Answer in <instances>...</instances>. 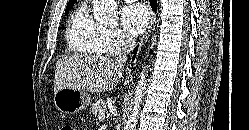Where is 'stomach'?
Segmentation results:
<instances>
[{
  "mask_svg": "<svg viewBox=\"0 0 249 130\" xmlns=\"http://www.w3.org/2000/svg\"><path fill=\"white\" fill-rule=\"evenodd\" d=\"M91 102V96L81 90L64 88L54 95L56 108L66 114H75L90 106Z\"/></svg>",
  "mask_w": 249,
  "mask_h": 130,
  "instance_id": "obj_1",
  "label": "stomach"
}]
</instances>
